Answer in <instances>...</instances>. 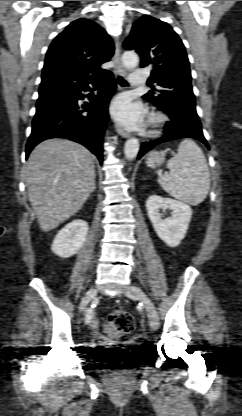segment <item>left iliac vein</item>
Listing matches in <instances>:
<instances>
[{"label": "left iliac vein", "mask_w": 242, "mask_h": 416, "mask_svg": "<svg viewBox=\"0 0 242 416\" xmlns=\"http://www.w3.org/2000/svg\"><path fill=\"white\" fill-rule=\"evenodd\" d=\"M126 296L139 300L145 307L150 326L153 330H157L159 327V315L158 312L150 300V298L144 293V291L135 285H131L126 291Z\"/></svg>", "instance_id": "left-iliac-vein-1"}]
</instances>
